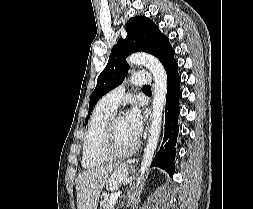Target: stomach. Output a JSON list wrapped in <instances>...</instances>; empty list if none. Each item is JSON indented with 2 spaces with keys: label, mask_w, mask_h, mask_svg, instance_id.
<instances>
[{
  "label": "stomach",
  "mask_w": 253,
  "mask_h": 209,
  "mask_svg": "<svg viewBox=\"0 0 253 209\" xmlns=\"http://www.w3.org/2000/svg\"><path fill=\"white\" fill-rule=\"evenodd\" d=\"M102 190H109V186H114V181H103Z\"/></svg>",
  "instance_id": "0dacf381"
}]
</instances>
